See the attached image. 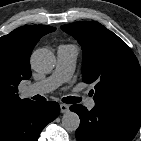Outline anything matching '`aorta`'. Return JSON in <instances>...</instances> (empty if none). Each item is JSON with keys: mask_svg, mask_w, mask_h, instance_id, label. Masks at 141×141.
Returning a JSON list of instances; mask_svg holds the SVG:
<instances>
[{"mask_svg": "<svg viewBox=\"0 0 141 141\" xmlns=\"http://www.w3.org/2000/svg\"><path fill=\"white\" fill-rule=\"evenodd\" d=\"M32 68L39 73H49L55 66L54 54L45 48L35 50L30 58ZM80 125L79 116L72 111H67L62 117V126L67 131H75Z\"/></svg>", "mask_w": 141, "mask_h": 141, "instance_id": "1", "label": "aorta"}]
</instances>
